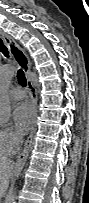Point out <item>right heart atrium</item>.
I'll use <instances>...</instances> for the list:
<instances>
[{
    "instance_id": "right-heart-atrium-1",
    "label": "right heart atrium",
    "mask_w": 89,
    "mask_h": 203,
    "mask_svg": "<svg viewBox=\"0 0 89 203\" xmlns=\"http://www.w3.org/2000/svg\"><path fill=\"white\" fill-rule=\"evenodd\" d=\"M0 137L4 145L12 151H15L22 142V138L10 126L2 128Z\"/></svg>"
}]
</instances>
